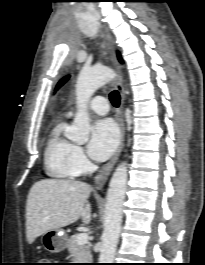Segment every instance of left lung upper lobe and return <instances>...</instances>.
<instances>
[{
  "label": "left lung upper lobe",
  "mask_w": 205,
  "mask_h": 265,
  "mask_svg": "<svg viewBox=\"0 0 205 265\" xmlns=\"http://www.w3.org/2000/svg\"><path fill=\"white\" fill-rule=\"evenodd\" d=\"M118 59H119V61L120 62H122V59H121V57H120V54L118 53ZM68 78H69V76H66V77H64V78H62L60 81H59V83L57 84V86H56V90L57 89H59L67 80H68Z\"/></svg>",
  "instance_id": "1"
}]
</instances>
